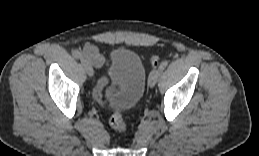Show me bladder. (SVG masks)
Segmentation results:
<instances>
[{"label":"bladder","instance_id":"bladder-1","mask_svg":"<svg viewBox=\"0 0 259 156\" xmlns=\"http://www.w3.org/2000/svg\"><path fill=\"white\" fill-rule=\"evenodd\" d=\"M108 76L112 83L122 85L121 91L110 101V107H117L121 112L134 108L143 96L146 81L140 57L127 49L112 51Z\"/></svg>","mask_w":259,"mask_h":156}]
</instances>
